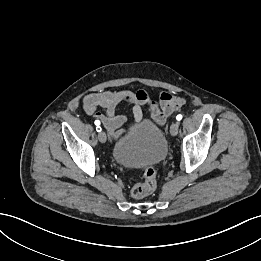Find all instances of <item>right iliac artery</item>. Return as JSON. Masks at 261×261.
<instances>
[{"label": "right iliac artery", "instance_id": "1", "mask_svg": "<svg viewBox=\"0 0 261 261\" xmlns=\"http://www.w3.org/2000/svg\"><path fill=\"white\" fill-rule=\"evenodd\" d=\"M95 125H96V131L97 132H101L102 128L100 127V121L99 120H95Z\"/></svg>", "mask_w": 261, "mask_h": 261}]
</instances>
